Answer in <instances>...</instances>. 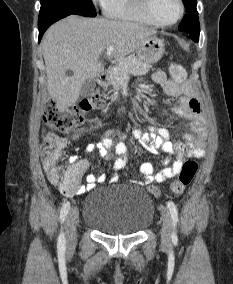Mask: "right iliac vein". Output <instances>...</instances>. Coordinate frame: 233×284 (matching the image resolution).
<instances>
[{
  "label": "right iliac vein",
  "mask_w": 233,
  "mask_h": 284,
  "mask_svg": "<svg viewBox=\"0 0 233 284\" xmlns=\"http://www.w3.org/2000/svg\"><path fill=\"white\" fill-rule=\"evenodd\" d=\"M78 217V210L76 207L70 209L66 218V240L68 248H73L76 244V220Z\"/></svg>",
  "instance_id": "right-iliac-vein-1"
}]
</instances>
